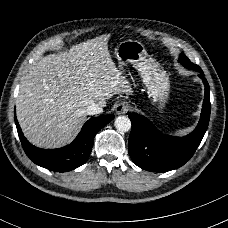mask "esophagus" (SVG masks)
I'll list each match as a JSON object with an SVG mask.
<instances>
[{
	"label": "esophagus",
	"instance_id": "34e87169",
	"mask_svg": "<svg viewBox=\"0 0 228 228\" xmlns=\"http://www.w3.org/2000/svg\"><path fill=\"white\" fill-rule=\"evenodd\" d=\"M131 110V105L128 102H121L116 105L115 112L118 115L125 114L126 112Z\"/></svg>",
	"mask_w": 228,
	"mask_h": 228
}]
</instances>
